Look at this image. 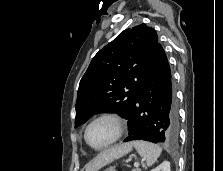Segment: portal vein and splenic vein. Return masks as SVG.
<instances>
[{"label": "portal vein and splenic vein", "mask_w": 223, "mask_h": 171, "mask_svg": "<svg viewBox=\"0 0 223 171\" xmlns=\"http://www.w3.org/2000/svg\"><path fill=\"white\" fill-rule=\"evenodd\" d=\"M134 166H135V167H139V163H138V162H135V163H134Z\"/></svg>", "instance_id": "18ae733b"}]
</instances>
